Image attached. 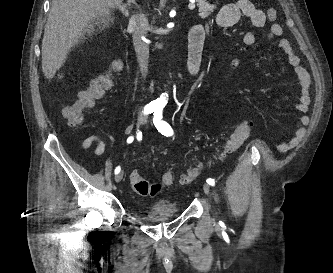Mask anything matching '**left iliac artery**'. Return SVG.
<instances>
[{
	"instance_id": "left-iliac-artery-1",
	"label": "left iliac artery",
	"mask_w": 333,
	"mask_h": 273,
	"mask_svg": "<svg viewBox=\"0 0 333 273\" xmlns=\"http://www.w3.org/2000/svg\"><path fill=\"white\" fill-rule=\"evenodd\" d=\"M154 117H153V123L155 125V127L157 128V130L165 136H172L173 135V129L171 128V126L164 120H162L163 116H162V109H155L154 111ZM206 182L211 185L214 186L215 185V181L211 178H208L206 180ZM221 222V221H220Z\"/></svg>"
}]
</instances>
